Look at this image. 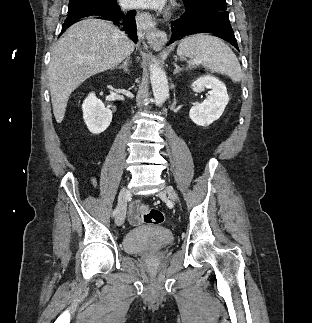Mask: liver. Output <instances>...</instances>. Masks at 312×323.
<instances>
[{"label": "liver", "mask_w": 312, "mask_h": 323, "mask_svg": "<svg viewBox=\"0 0 312 323\" xmlns=\"http://www.w3.org/2000/svg\"><path fill=\"white\" fill-rule=\"evenodd\" d=\"M133 52V44L113 22L82 18L51 48L48 68L53 114L61 124L70 94L90 76L113 70Z\"/></svg>", "instance_id": "liver-1"}]
</instances>
